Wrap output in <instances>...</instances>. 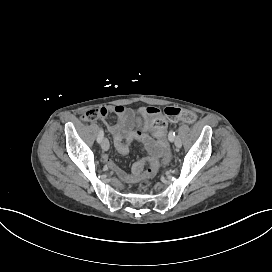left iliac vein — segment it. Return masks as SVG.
Here are the masks:
<instances>
[{
	"label": "left iliac vein",
	"instance_id": "4c4485c4",
	"mask_svg": "<svg viewBox=\"0 0 272 272\" xmlns=\"http://www.w3.org/2000/svg\"><path fill=\"white\" fill-rule=\"evenodd\" d=\"M174 144H175V147H176L177 150H179L181 148V146H182L181 141L179 139H176Z\"/></svg>",
	"mask_w": 272,
	"mask_h": 272
}]
</instances>
